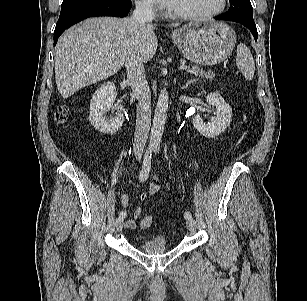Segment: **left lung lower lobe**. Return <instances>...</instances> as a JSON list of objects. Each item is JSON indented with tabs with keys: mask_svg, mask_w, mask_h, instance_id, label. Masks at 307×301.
Instances as JSON below:
<instances>
[{
	"mask_svg": "<svg viewBox=\"0 0 307 301\" xmlns=\"http://www.w3.org/2000/svg\"><path fill=\"white\" fill-rule=\"evenodd\" d=\"M217 19L239 22L243 24L244 26H246L252 32L255 40H257L258 38V33H257V29H256L254 20H246V19H240V18H227L224 16L217 17Z\"/></svg>",
	"mask_w": 307,
	"mask_h": 301,
	"instance_id": "1",
	"label": "left lung lower lobe"
}]
</instances>
